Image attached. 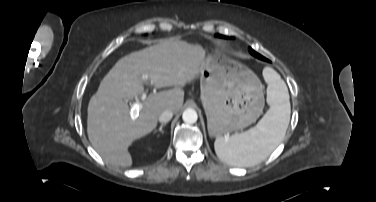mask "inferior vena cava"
<instances>
[{"label":"inferior vena cava","instance_id":"inferior-vena-cava-1","mask_svg":"<svg viewBox=\"0 0 376 202\" xmlns=\"http://www.w3.org/2000/svg\"><path fill=\"white\" fill-rule=\"evenodd\" d=\"M173 117V112L169 109L165 110L160 116H159V121L161 123H167L170 121Z\"/></svg>","mask_w":376,"mask_h":202}]
</instances>
